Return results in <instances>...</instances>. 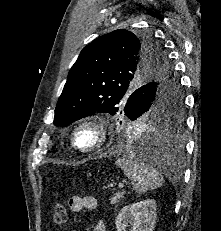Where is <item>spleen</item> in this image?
Segmentation results:
<instances>
[{"instance_id": "spleen-1", "label": "spleen", "mask_w": 221, "mask_h": 231, "mask_svg": "<svg viewBox=\"0 0 221 231\" xmlns=\"http://www.w3.org/2000/svg\"><path fill=\"white\" fill-rule=\"evenodd\" d=\"M124 174L134 181L133 190L137 193H145L162 186L163 177L152 162L141 160L134 155L116 160Z\"/></svg>"}]
</instances>
